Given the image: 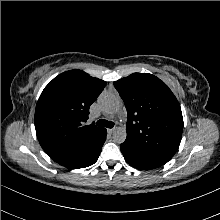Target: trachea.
<instances>
[{
  "label": "trachea",
  "mask_w": 220,
  "mask_h": 220,
  "mask_svg": "<svg viewBox=\"0 0 220 220\" xmlns=\"http://www.w3.org/2000/svg\"><path fill=\"white\" fill-rule=\"evenodd\" d=\"M96 124L98 126L107 127V128H113L114 127V122L108 121V120H105V119L98 120Z\"/></svg>",
  "instance_id": "3493384b"
}]
</instances>
